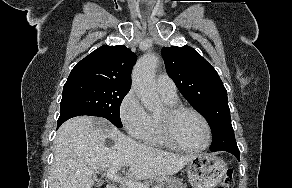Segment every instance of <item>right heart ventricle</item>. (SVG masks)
Returning a JSON list of instances; mask_svg holds the SVG:
<instances>
[{"mask_svg":"<svg viewBox=\"0 0 292 188\" xmlns=\"http://www.w3.org/2000/svg\"><path fill=\"white\" fill-rule=\"evenodd\" d=\"M163 100L168 105H175L177 104V99H168L163 97ZM142 140L152 146H161V147H170L161 137L158 124H157V116L156 115H149V126L147 131L145 132L144 136L142 137Z\"/></svg>","mask_w":292,"mask_h":188,"instance_id":"e07e8e85","label":"right heart ventricle"}]
</instances>
